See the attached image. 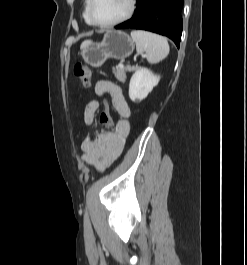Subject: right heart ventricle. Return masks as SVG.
Masks as SVG:
<instances>
[{
  "label": "right heart ventricle",
  "instance_id": "1",
  "mask_svg": "<svg viewBox=\"0 0 247 265\" xmlns=\"http://www.w3.org/2000/svg\"><path fill=\"white\" fill-rule=\"evenodd\" d=\"M87 7H88V0H85V4H84V11H83V17L84 20L87 24L92 25L89 21L88 15H87Z\"/></svg>",
  "mask_w": 247,
  "mask_h": 265
}]
</instances>
